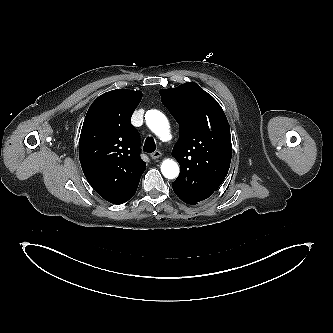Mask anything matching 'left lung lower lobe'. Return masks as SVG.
<instances>
[{"mask_svg":"<svg viewBox=\"0 0 333 333\" xmlns=\"http://www.w3.org/2000/svg\"><path fill=\"white\" fill-rule=\"evenodd\" d=\"M175 194L183 201V202H185V203H187V204H192V205H195V204H197L198 203V201L197 200H195V199H193V198H191V197H189V196H187V195H184V194H182V193H180V192H175Z\"/></svg>","mask_w":333,"mask_h":333,"instance_id":"0a47b994","label":"left lung lower lobe"}]
</instances>
